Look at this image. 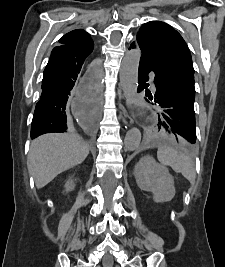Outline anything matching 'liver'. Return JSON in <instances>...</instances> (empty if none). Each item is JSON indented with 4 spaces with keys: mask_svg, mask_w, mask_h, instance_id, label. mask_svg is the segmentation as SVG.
<instances>
[{
    "mask_svg": "<svg viewBox=\"0 0 225 267\" xmlns=\"http://www.w3.org/2000/svg\"><path fill=\"white\" fill-rule=\"evenodd\" d=\"M89 146L75 134H46L31 143L27 159L36 187L43 188L60 173L81 164Z\"/></svg>",
    "mask_w": 225,
    "mask_h": 267,
    "instance_id": "obj_1",
    "label": "liver"
}]
</instances>
